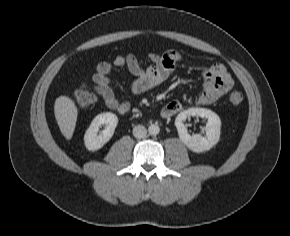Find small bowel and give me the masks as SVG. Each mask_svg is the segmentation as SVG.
<instances>
[{
  "label": "small bowel",
  "mask_w": 290,
  "mask_h": 236,
  "mask_svg": "<svg viewBox=\"0 0 290 236\" xmlns=\"http://www.w3.org/2000/svg\"><path fill=\"white\" fill-rule=\"evenodd\" d=\"M183 56L178 51L169 50L162 54L149 53L147 60L149 65L143 67L133 54L116 55L112 63L101 62L97 65L93 75V89L102 97L105 104L119 114L125 115L130 111L131 105L127 101H120L110 85V79L116 71L127 70L135 76L132 83V91L141 95L159 86L175 71L177 63ZM202 90L195 97L196 106L209 105L217 101L233 86V79L226 67L221 63H215L205 69L202 74ZM182 104L179 101L167 103L160 111L162 119H170L179 113Z\"/></svg>",
  "instance_id": "small-bowel-1"
}]
</instances>
